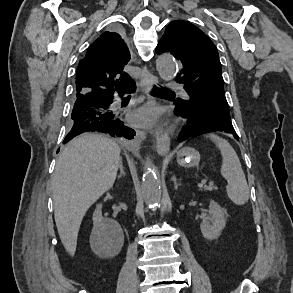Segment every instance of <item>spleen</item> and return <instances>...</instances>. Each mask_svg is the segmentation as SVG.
Returning <instances> with one entry per match:
<instances>
[{"instance_id": "3e777b00", "label": "spleen", "mask_w": 293, "mask_h": 293, "mask_svg": "<svg viewBox=\"0 0 293 293\" xmlns=\"http://www.w3.org/2000/svg\"><path fill=\"white\" fill-rule=\"evenodd\" d=\"M222 155L221 175L227 180V195L236 205H243L249 199V187L240 160L229 142L213 133L207 134Z\"/></svg>"}]
</instances>
